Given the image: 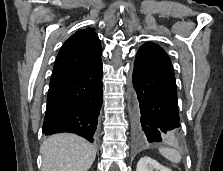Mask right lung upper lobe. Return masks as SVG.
Returning a JSON list of instances; mask_svg holds the SVG:
<instances>
[{"label": "right lung upper lobe", "instance_id": "cb5924a9", "mask_svg": "<svg viewBox=\"0 0 223 171\" xmlns=\"http://www.w3.org/2000/svg\"><path fill=\"white\" fill-rule=\"evenodd\" d=\"M101 44L91 28L79 30L62 46L50 82L81 73L101 61Z\"/></svg>", "mask_w": 223, "mask_h": 171}]
</instances>
